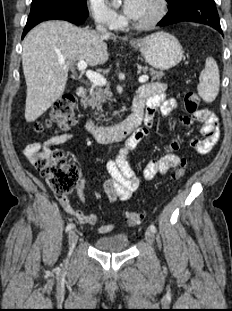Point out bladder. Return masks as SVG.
<instances>
[{
    "mask_svg": "<svg viewBox=\"0 0 232 311\" xmlns=\"http://www.w3.org/2000/svg\"><path fill=\"white\" fill-rule=\"evenodd\" d=\"M129 238L123 233H113L98 237L95 240L94 246L100 252H124L129 247Z\"/></svg>",
    "mask_w": 232,
    "mask_h": 311,
    "instance_id": "31cf9c89",
    "label": "bladder"
}]
</instances>
